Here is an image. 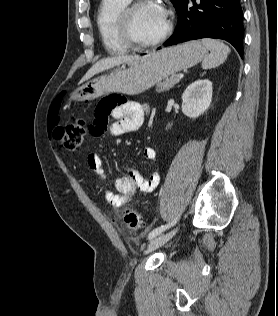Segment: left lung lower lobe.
I'll use <instances>...</instances> for the list:
<instances>
[{"mask_svg":"<svg viewBox=\"0 0 278 316\" xmlns=\"http://www.w3.org/2000/svg\"><path fill=\"white\" fill-rule=\"evenodd\" d=\"M193 6H188V2ZM178 25L164 45L200 38L223 39L243 57V12L240 0H181Z\"/></svg>","mask_w":278,"mask_h":316,"instance_id":"left-lung-lower-lobe-1","label":"left lung lower lobe"}]
</instances>
